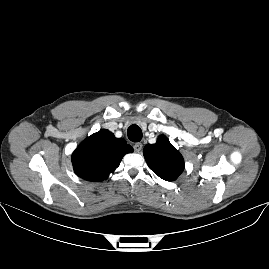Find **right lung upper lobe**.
<instances>
[{
	"instance_id": "obj_1",
	"label": "right lung upper lobe",
	"mask_w": 269,
	"mask_h": 269,
	"mask_svg": "<svg viewBox=\"0 0 269 269\" xmlns=\"http://www.w3.org/2000/svg\"><path fill=\"white\" fill-rule=\"evenodd\" d=\"M133 148L122 138L106 129L86 138L74 151L72 163L75 173L88 181L106 179Z\"/></svg>"
}]
</instances>
